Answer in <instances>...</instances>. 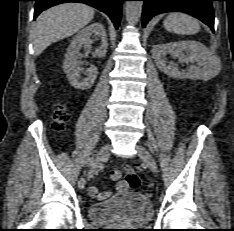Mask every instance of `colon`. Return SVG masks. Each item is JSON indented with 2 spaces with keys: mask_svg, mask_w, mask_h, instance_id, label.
Wrapping results in <instances>:
<instances>
[{
  "mask_svg": "<svg viewBox=\"0 0 234 231\" xmlns=\"http://www.w3.org/2000/svg\"><path fill=\"white\" fill-rule=\"evenodd\" d=\"M69 115L65 108L60 105L56 104L54 107V114H53V122L52 125L56 130H63L65 127L66 122L68 121ZM123 175L124 182L127 186L131 189L138 188L140 184L139 177L134 169L129 166H125L123 172L119 170H113L111 172V179L118 180Z\"/></svg>",
  "mask_w": 234,
  "mask_h": 231,
  "instance_id": "obj_1",
  "label": "colon"
}]
</instances>
